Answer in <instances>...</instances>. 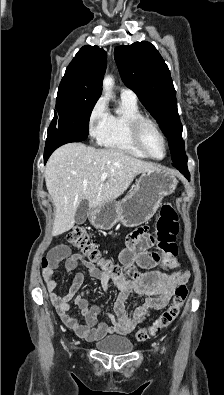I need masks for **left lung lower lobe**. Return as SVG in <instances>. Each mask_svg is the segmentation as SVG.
Masks as SVG:
<instances>
[{
	"instance_id": "obj_1",
	"label": "left lung lower lobe",
	"mask_w": 224,
	"mask_h": 395,
	"mask_svg": "<svg viewBox=\"0 0 224 395\" xmlns=\"http://www.w3.org/2000/svg\"><path fill=\"white\" fill-rule=\"evenodd\" d=\"M173 166L176 167L184 176L189 180L190 175L187 169V156H183L182 159L173 162Z\"/></svg>"
}]
</instances>
